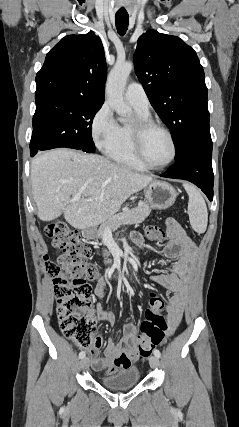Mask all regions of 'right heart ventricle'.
I'll return each instance as SVG.
<instances>
[{"label":"right heart ventricle","instance_id":"e07e8e85","mask_svg":"<svg viewBox=\"0 0 239 427\" xmlns=\"http://www.w3.org/2000/svg\"><path fill=\"white\" fill-rule=\"evenodd\" d=\"M134 110L137 114V117L149 118L148 112H144L136 108H134ZM106 155L117 164L132 168L134 170H147V168L138 161L134 154L129 125H119V135L117 141L106 152Z\"/></svg>","mask_w":239,"mask_h":427}]
</instances>
